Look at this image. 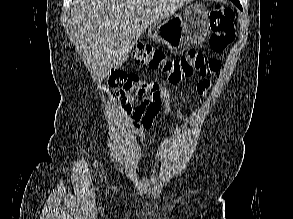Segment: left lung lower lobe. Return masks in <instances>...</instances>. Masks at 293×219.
<instances>
[{
	"label": "left lung lower lobe",
	"mask_w": 293,
	"mask_h": 219,
	"mask_svg": "<svg viewBox=\"0 0 293 219\" xmlns=\"http://www.w3.org/2000/svg\"><path fill=\"white\" fill-rule=\"evenodd\" d=\"M236 6H238L240 9H242L241 5L240 4H237Z\"/></svg>",
	"instance_id": "left-lung-lower-lobe-1"
}]
</instances>
